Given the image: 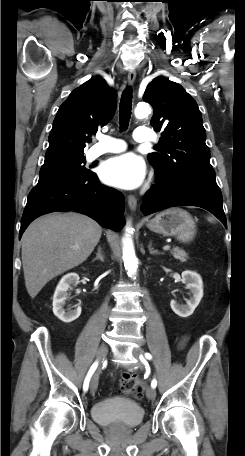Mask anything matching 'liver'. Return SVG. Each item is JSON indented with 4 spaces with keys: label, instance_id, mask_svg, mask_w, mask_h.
Returning a JSON list of instances; mask_svg holds the SVG:
<instances>
[{
    "label": "liver",
    "instance_id": "obj_1",
    "mask_svg": "<svg viewBox=\"0 0 245 456\" xmlns=\"http://www.w3.org/2000/svg\"><path fill=\"white\" fill-rule=\"evenodd\" d=\"M102 234L93 219L74 212L53 213L33 221L22 237L25 286L31 298L54 277L80 265Z\"/></svg>",
    "mask_w": 245,
    "mask_h": 456
}]
</instances>
